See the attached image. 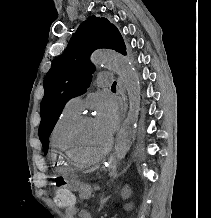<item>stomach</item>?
Masks as SVG:
<instances>
[{
	"instance_id": "0dacf381",
	"label": "stomach",
	"mask_w": 211,
	"mask_h": 218,
	"mask_svg": "<svg viewBox=\"0 0 211 218\" xmlns=\"http://www.w3.org/2000/svg\"><path fill=\"white\" fill-rule=\"evenodd\" d=\"M66 186L73 190L78 191L84 185L80 180H78L76 175H69L65 177Z\"/></svg>"
}]
</instances>
